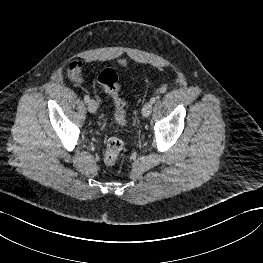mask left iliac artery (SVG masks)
<instances>
[{"mask_svg": "<svg viewBox=\"0 0 263 263\" xmlns=\"http://www.w3.org/2000/svg\"><path fill=\"white\" fill-rule=\"evenodd\" d=\"M150 102L153 104V103H155L156 102V98L155 97H152L151 99H150Z\"/></svg>", "mask_w": 263, "mask_h": 263, "instance_id": "obj_1", "label": "left iliac artery"}]
</instances>
